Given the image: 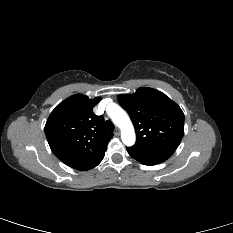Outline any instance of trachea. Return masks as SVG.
Instances as JSON below:
<instances>
[{"label":"trachea","mask_w":233,"mask_h":233,"mask_svg":"<svg viewBox=\"0 0 233 233\" xmlns=\"http://www.w3.org/2000/svg\"><path fill=\"white\" fill-rule=\"evenodd\" d=\"M105 126H106V128H107L108 130H110V131L114 130V128H115L114 124H113L112 121H110V120H107V121L105 122Z\"/></svg>","instance_id":"1"}]
</instances>
